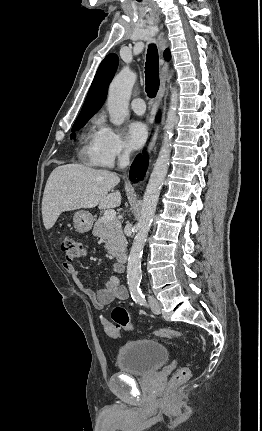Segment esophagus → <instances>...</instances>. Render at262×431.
I'll return each mask as SVG.
<instances>
[{"instance_id":"esophagus-1","label":"esophagus","mask_w":262,"mask_h":431,"mask_svg":"<svg viewBox=\"0 0 262 431\" xmlns=\"http://www.w3.org/2000/svg\"><path fill=\"white\" fill-rule=\"evenodd\" d=\"M169 71V63L168 62H163L161 64V73H160V87H159V91H158V96H157V105L161 106L162 103V99L164 96V92H165V81H166V76L168 74ZM158 132H159V125H156L155 130L153 132L150 144L148 146V151H151L154 149L155 147V143L158 137Z\"/></svg>"}]
</instances>
